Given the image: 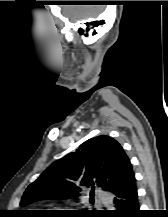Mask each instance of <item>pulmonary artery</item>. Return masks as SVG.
<instances>
[{
    "label": "pulmonary artery",
    "instance_id": "obj_1",
    "mask_svg": "<svg viewBox=\"0 0 168 217\" xmlns=\"http://www.w3.org/2000/svg\"><path fill=\"white\" fill-rule=\"evenodd\" d=\"M97 197L102 204H108L109 198L102 192H97Z\"/></svg>",
    "mask_w": 168,
    "mask_h": 217
}]
</instances>
